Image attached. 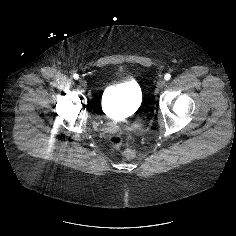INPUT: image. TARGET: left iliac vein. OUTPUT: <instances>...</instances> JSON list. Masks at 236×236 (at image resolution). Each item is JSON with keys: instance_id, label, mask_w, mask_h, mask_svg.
<instances>
[{"instance_id": "1", "label": "left iliac vein", "mask_w": 236, "mask_h": 236, "mask_svg": "<svg viewBox=\"0 0 236 236\" xmlns=\"http://www.w3.org/2000/svg\"><path fill=\"white\" fill-rule=\"evenodd\" d=\"M165 84H166V81L163 78H160L157 81V88L162 89L165 86Z\"/></svg>"}]
</instances>
